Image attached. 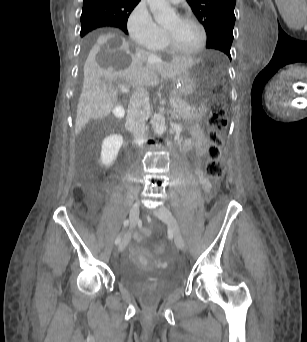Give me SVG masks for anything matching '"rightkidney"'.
Returning <instances> with one entry per match:
<instances>
[{
	"label": "right kidney",
	"instance_id": "obj_1",
	"mask_svg": "<svg viewBox=\"0 0 307 342\" xmlns=\"http://www.w3.org/2000/svg\"><path fill=\"white\" fill-rule=\"evenodd\" d=\"M122 144L123 136L121 134H111V136H107L103 140L100 160L105 168H109V166L114 164V160H116Z\"/></svg>",
	"mask_w": 307,
	"mask_h": 342
}]
</instances>
